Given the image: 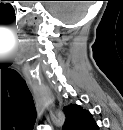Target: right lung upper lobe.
Here are the masks:
<instances>
[{
	"instance_id": "1",
	"label": "right lung upper lobe",
	"mask_w": 123,
	"mask_h": 130,
	"mask_svg": "<svg viewBox=\"0 0 123 130\" xmlns=\"http://www.w3.org/2000/svg\"><path fill=\"white\" fill-rule=\"evenodd\" d=\"M66 122L63 130H97L98 126L89 111L79 105L70 104L64 107Z\"/></svg>"
}]
</instances>
